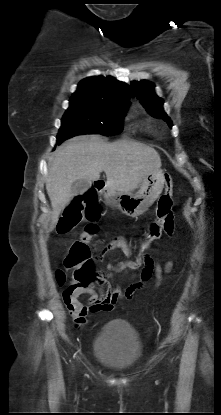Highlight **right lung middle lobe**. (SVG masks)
<instances>
[{
  "label": "right lung middle lobe",
  "mask_w": 221,
  "mask_h": 415,
  "mask_svg": "<svg viewBox=\"0 0 221 415\" xmlns=\"http://www.w3.org/2000/svg\"><path fill=\"white\" fill-rule=\"evenodd\" d=\"M125 111V106L70 101V106L61 120L57 142L61 143L79 134H119L122 132Z\"/></svg>",
  "instance_id": "1"
}]
</instances>
